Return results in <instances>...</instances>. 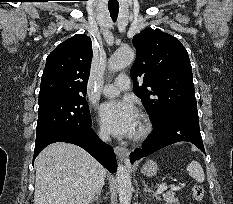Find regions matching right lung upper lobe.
Listing matches in <instances>:
<instances>
[{
  "label": "right lung upper lobe",
  "mask_w": 233,
  "mask_h": 204,
  "mask_svg": "<svg viewBox=\"0 0 233 204\" xmlns=\"http://www.w3.org/2000/svg\"><path fill=\"white\" fill-rule=\"evenodd\" d=\"M92 55L91 39L84 34L75 35L59 44L47 57L39 101L85 96Z\"/></svg>",
  "instance_id": "1"
}]
</instances>
